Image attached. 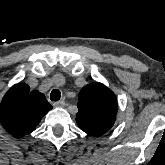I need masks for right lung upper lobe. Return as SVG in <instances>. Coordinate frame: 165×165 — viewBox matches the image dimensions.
Listing matches in <instances>:
<instances>
[{
    "mask_svg": "<svg viewBox=\"0 0 165 165\" xmlns=\"http://www.w3.org/2000/svg\"><path fill=\"white\" fill-rule=\"evenodd\" d=\"M52 109L44 94L37 90L30 92L24 83L12 86L0 105V122L4 129L14 136L33 132L42 117Z\"/></svg>",
    "mask_w": 165,
    "mask_h": 165,
    "instance_id": "obj_1",
    "label": "right lung upper lobe"
}]
</instances>
